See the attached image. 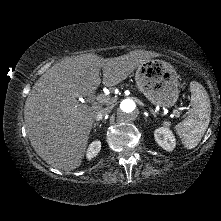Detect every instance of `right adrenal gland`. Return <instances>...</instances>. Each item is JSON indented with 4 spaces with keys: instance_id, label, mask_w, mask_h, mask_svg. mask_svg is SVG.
Wrapping results in <instances>:
<instances>
[{
    "instance_id": "2a0ac1e0",
    "label": "right adrenal gland",
    "mask_w": 221,
    "mask_h": 221,
    "mask_svg": "<svg viewBox=\"0 0 221 221\" xmlns=\"http://www.w3.org/2000/svg\"><path fill=\"white\" fill-rule=\"evenodd\" d=\"M99 125V123H94V127H96V126H98Z\"/></svg>"
}]
</instances>
